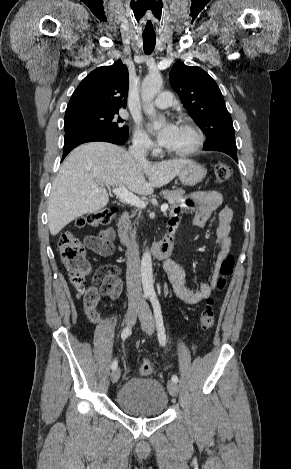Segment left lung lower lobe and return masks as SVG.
<instances>
[{"label":"left lung lower lobe","instance_id":"obj_1","mask_svg":"<svg viewBox=\"0 0 291 469\" xmlns=\"http://www.w3.org/2000/svg\"><path fill=\"white\" fill-rule=\"evenodd\" d=\"M204 150H206V151H220V152H224V153L228 154L229 156H231L236 162H238V160H237V147H236V145H232V144H219V145L212 146V147H205Z\"/></svg>","mask_w":291,"mask_h":469}]
</instances>
